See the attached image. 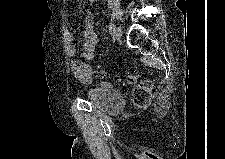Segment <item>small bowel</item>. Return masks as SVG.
I'll return each mask as SVG.
<instances>
[{
  "label": "small bowel",
  "mask_w": 225,
  "mask_h": 159,
  "mask_svg": "<svg viewBox=\"0 0 225 159\" xmlns=\"http://www.w3.org/2000/svg\"><path fill=\"white\" fill-rule=\"evenodd\" d=\"M66 42L67 53L71 58L70 69L72 74L83 83L90 82L93 78V68L90 62L96 57V47L98 45L99 38L89 17L85 22V33L80 53V57L83 61L74 59L76 49L73 45L71 34H67Z\"/></svg>",
  "instance_id": "c3829d8e"
}]
</instances>
